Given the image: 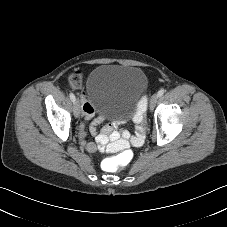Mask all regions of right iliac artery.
Masks as SVG:
<instances>
[{"label": "right iliac artery", "instance_id": "1", "mask_svg": "<svg viewBox=\"0 0 227 227\" xmlns=\"http://www.w3.org/2000/svg\"><path fill=\"white\" fill-rule=\"evenodd\" d=\"M69 96H70L71 101L72 102H75V96H74V94L73 93H70Z\"/></svg>", "mask_w": 227, "mask_h": 227}]
</instances>
